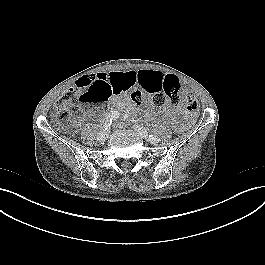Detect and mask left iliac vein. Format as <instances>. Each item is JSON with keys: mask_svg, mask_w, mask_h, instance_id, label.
Here are the masks:
<instances>
[{"mask_svg": "<svg viewBox=\"0 0 265 265\" xmlns=\"http://www.w3.org/2000/svg\"><path fill=\"white\" fill-rule=\"evenodd\" d=\"M134 130L144 139H148L149 135L148 132L145 128L139 126V125H134L133 126ZM152 143H157L158 141H152L150 140Z\"/></svg>", "mask_w": 265, "mask_h": 265, "instance_id": "obj_1", "label": "left iliac vein"}]
</instances>
